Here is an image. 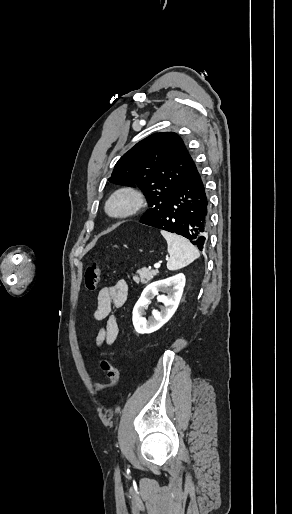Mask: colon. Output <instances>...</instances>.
Masks as SVG:
<instances>
[{
  "label": "colon",
  "mask_w": 292,
  "mask_h": 514,
  "mask_svg": "<svg viewBox=\"0 0 292 514\" xmlns=\"http://www.w3.org/2000/svg\"><path fill=\"white\" fill-rule=\"evenodd\" d=\"M102 272V265L96 262L85 270V287L88 291L95 292L97 290ZM100 357L101 368L105 372L108 382L98 385L97 388L100 390H110L119 383L120 374L112 360L105 353L102 352Z\"/></svg>",
  "instance_id": "obj_1"
}]
</instances>
